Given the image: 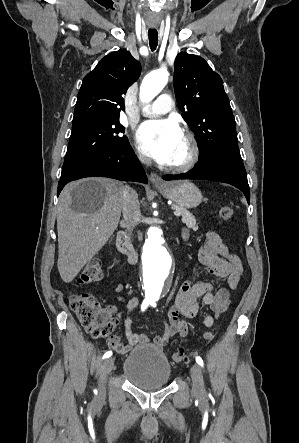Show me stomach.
Segmentation results:
<instances>
[{
    "label": "stomach",
    "instance_id": "1",
    "mask_svg": "<svg viewBox=\"0 0 299 443\" xmlns=\"http://www.w3.org/2000/svg\"><path fill=\"white\" fill-rule=\"evenodd\" d=\"M159 192L177 205L191 209L200 205L203 196L201 191L190 182H170L158 187Z\"/></svg>",
    "mask_w": 299,
    "mask_h": 443
}]
</instances>
